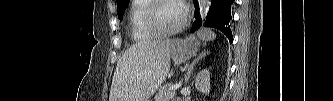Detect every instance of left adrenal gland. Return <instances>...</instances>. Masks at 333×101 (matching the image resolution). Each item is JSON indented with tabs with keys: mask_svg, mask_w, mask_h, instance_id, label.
I'll list each match as a JSON object with an SVG mask.
<instances>
[{
	"mask_svg": "<svg viewBox=\"0 0 333 101\" xmlns=\"http://www.w3.org/2000/svg\"><path fill=\"white\" fill-rule=\"evenodd\" d=\"M207 55H209V51H206V50L202 51V53H200L198 55V57H196L194 59V61L189 65V67L187 69V74L185 77V84L188 83L196 64L199 63L200 60L204 59Z\"/></svg>",
	"mask_w": 333,
	"mask_h": 101,
	"instance_id": "left-adrenal-gland-1",
	"label": "left adrenal gland"
}]
</instances>
